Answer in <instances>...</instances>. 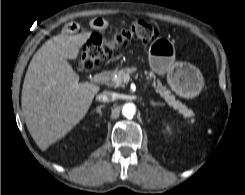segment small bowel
Instances as JSON below:
<instances>
[{
    "mask_svg": "<svg viewBox=\"0 0 245 195\" xmlns=\"http://www.w3.org/2000/svg\"><path fill=\"white\" fill-rule=\"evenodd\" d=\"M90 26L91 28L95 29V30H104L108 27V23L106 20L102 19V18H95L93 20L90 21ZM79 29V26L77 23L75 22H69L67 24H65L63 31L65 34H73L75 32H77Z\"/></svg>",
    "mask_w": 245,
    "mask_h": 195,
    "instance_id": "small-bowel-1",
    "label": "small bowel"
}]
</instances>
